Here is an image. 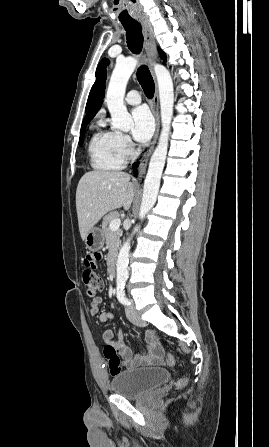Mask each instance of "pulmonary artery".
<instances>
[{
  "label": "pulmonary artery",
  "instance_id": "1",
  "mask_svg": "<svg viewBox=\"0 0 269 447\" xmlns=\"http://www.w3.org/2000/svg\"><path fill=\"white\" fill-rule=\"evenodd\" d=\"M126 103L130 105H137L140 104L142 101V97L140 92L137 90H130L126 95Z\"/></svg>",
  "mask_w": 269,
  "mask_h": 447
}]
</instances>
